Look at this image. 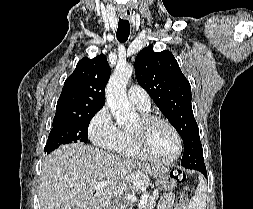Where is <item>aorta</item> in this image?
I'll use <instances>...</instances> for the list:
<instances>
[{"mask_svg": "<svg viewBox=\"0 0 253 209\" xmlns=\"http://www.w3.org/2000/svg\"><path fill=\"white\" fill-rule=\"evenodd\" d=\"M132 73L131 64H117L106 87V102L119 127L129 126L136 120V114L126 96V87Z\"/></svg>", "mask_w": 253, "mask_h": 209, "instance_id": "1", "label": "aorta"}]
</instances>
